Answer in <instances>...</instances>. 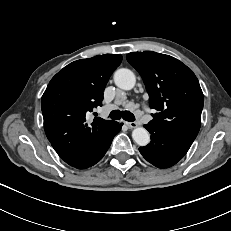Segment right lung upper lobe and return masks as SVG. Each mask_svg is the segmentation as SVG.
Instances as JSON below:
<instances>
[{"label": "right lung upper lobe", "mask_w": 231, "mask_h": 231, "mask_svg": "<svg viewBox=\"0 0 231 231\" xmlns=\"http://www.w3.org/2000/svg\"><path fill=\"white\" fill-rule=\"evenodd\" d=\"M120 54H106L74 61L49 82L41 100L44 129L58 155L79 168L108 140L116 121L86 115L102 105L103 91Z\"/></svg>", "instance_id": "cb5924a9"}]
</instances>
